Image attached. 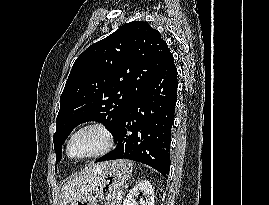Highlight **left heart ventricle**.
Segmentation results:
<instances>
[{
	"label": "left heart ventricle",
	"instance_id": "1",
	"mask_svg": "<svg viewBox=\"0 0 269 205\" xmlns=\"http://www.w3.org/2000/svg\"><path fill=\"white\" fill-rule=\"evenodd\" d=\"M105 145V138L96 129H87L78 133L71 142V154L75 157H83L92 154Z\"/></svg>",
	"mask_w": 269,
	"mask_h": 205
}]
</instances>
